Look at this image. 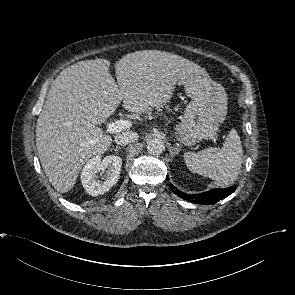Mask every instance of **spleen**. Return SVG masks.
Returning a JSON list of instances; mask_svg holds the SVG:
<instances>
[{"mask_svg": "<svg viewBox=\"0 0 295 295\" xmlns=\"http://www.w3.org/2000/svg\"><path fill=\"white\" fill-rule=\"evenodd\" d=\"M242 144L235 129H231L221 148L209 147L198 153L187 152L184 160L190 171L209 177L217 186L233 183L242 166Z\"/></svg>", "mask_w": 295, "mask_h": 295, "instance_id": "1", "label": "spleen"}]
</instances>
